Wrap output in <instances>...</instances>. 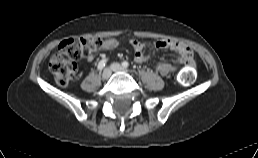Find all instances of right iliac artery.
I'll list each match as a JSON object with an SVG mask.
<instances>
[{"label": "right iliac artery", "mask_w": 258, "mask_h": 158, "mask_svg": "<svg viewBox=\"0 0 258 158\" xmlns=\"http://www.w3.org/2000/svg\"><path fill=\"white\" fill-rule=\"evenodd\" d=\"M106 65V60H101L99 63H98V66H97V69L102 71V69L105 67Z\"/></svg>", "instance_id": "82829eb1"}]
</instances>
